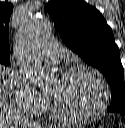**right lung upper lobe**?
<instances>
[{"label":"right lung upper lobe","instance_id":"cb5924a9","mask_svg":"<svg viewBox=\"0 0 125 128\" xmlns=\"http://www.w3.org/2000/svg\"><path fill=\"white\" fill-rule=\"evenodd\" d=\"M13 11V5L8 2H0V58L10 59L9 46V20Z\"/></svg>","mask_w":125,"mask_h":128}]
</instances>
